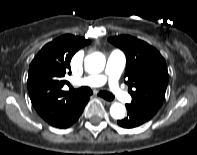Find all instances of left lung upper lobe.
Returning <instances> with one entry per match:
<instances>
[{"mask_svg":"<svg viewBox=\"0 0 197 155\" xmlns=\"http://www.w3.org/2000/svg\"><path fill=\"white\" fill-rule=\"evenodd\" d=\"M108 40L126 55L125 77L132 96L130 105L152 118L164 100L168 84L164 58L148 43L129 35Z\"/></svg>","mask_w":197,"mask_h":155,"instance_id":"1","label":"left lung upper lobe"}]
</instances>
